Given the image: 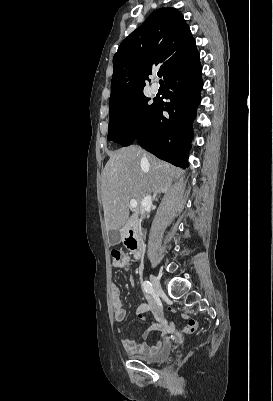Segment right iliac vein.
<instances>
[{
    "label": "right iliac vein",
    "instance_id": "1",
    "mask_svg": "<svg viewBox=\"0 0 273 401\" xmlns=\"http://www.w3.org/2000/svg\"><path fill=\"white\" fill-rule=\"evenodd\" d=\"M150 281H151L152 287L155 291V294L160 295L163 292V290H162L159 279L156 276L151 275Z\"/></svg>",
    "mask_w": 273,
    "mask_h": 401
}]
</instances>
